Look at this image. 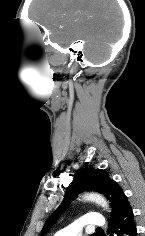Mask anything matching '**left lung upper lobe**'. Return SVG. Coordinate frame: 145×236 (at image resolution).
Here are the masks:
<instances>
[{
  "mask_svg": "<svg viewBox=\"0 0 145 236\" xmlns=\"http://www.w3.org/2000/svg\"><path fill=\"white\" fill-rule=\"evenodd\" d=\"M83 190L100 192L109 200L112 207L111 219L124 213L129 207H131L122 188L116 181L109 177V174L105 170L82 168L74 175L63 203L47 220L42 229L41 235L45 234L52 227L60 214L66 210L70 202Z\"/></svg>",
  "mask_w": 145,
  "mask_h": 236,
  "instance_id": "5c2ea615",
  "label": "left lung upper lobe"
}]
</instances>
